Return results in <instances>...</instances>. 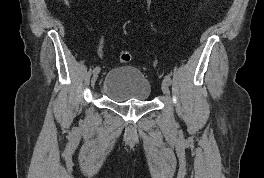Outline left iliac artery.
Masks as SVG:
<instances>
[{
  "label": "left iliac artery",
  "instance_id": "left-iliac-artery-1",
  "mask_svg": "<svg viewBox=\"0 0 264 178\" xmlns=\"http://www.w3.org/2000/svg\"><path fill=\"white\" fill-rule=\"evenodd\" d=\"M164 80L170 85L171 84V77L169 75H166L164 77Z\"/></svg>",
  "mask_w": 264,
  "mask_h": 178
}]
</instances>
